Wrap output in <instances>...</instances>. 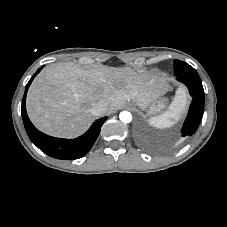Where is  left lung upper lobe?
Masks as SVG:
<instances>
[{
	"label": "left lung upper lobe",
	"instance_id": "1",
	"mask_svg": "<svg viewBox=\"0 0 227 227\" xmlns=\"http://www.w3.org/2000/svg\"><path fill=\"white\" fill-rule=\"evenodd\" d=\"M174 72L177 77L179 76L199 77L198 73L193 67L177 59L174 60Z\"/></svg>",
	"mask_w": 227,
	"mask_h": 227
}]
</instances>
